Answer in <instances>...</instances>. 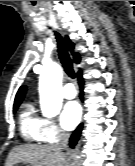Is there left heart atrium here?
Listing matches in <instances>:
<instances>
[{
  "mask_svg": "<svg viewBox=\"0 0 135 166\" xmlns=\"http://www.w3.org/2000/svg\"><path fill=\"white\" fill-rule=\"evenodd\" d=\"M81 115V109L77 102L70 101L62 109L60 116L61 126L65 130H72L78 123Z\"/></svg>",
  "mask_w": 135,
  "mask_h": 166,
  "instance_id": "left-heart-atrium-1",
  "label": "left heart atrium"
}]
</instances>
